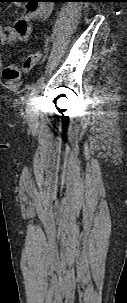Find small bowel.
<instances>
[{
  "mask_svg": "<svg viewBox=\"0 0 127 303\" xmlns=\"http://www.w3.org/2000/svg\"><path fill=\"white\" fill-rule=\"evenodd\" d=\"M51 0L27 1L23 15L7 28L0 25V45L26 41L31 33V21L36 18L46 19L50 16L53 6L44 2Z\"/></svg>",
  "mask_w": 127,
  "mask_h": 303,
  "instance_id": "c3829d8e",
  "label": "small bowel"
}]
</instances>
